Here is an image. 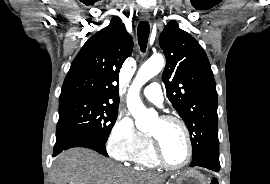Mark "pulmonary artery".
Returning <instances> with one entry per match:
<instances>
[{
    "label": "pulmonary artery",
    "mask_w": 270,
    "mask_h": 184,
    "mask_svg": "<svg viewBox=\"0 0 270 184\" xmlns=\"http://www.w3.org/2000/svg\"><path fill=\"white\" fill-rule=\"evenodd\" d=\"M144 96L156 105H161L163 102V95L161 87L158 83H151L143 90Z\"/></svg>",
    "instance_id": "1"
}]
</instances>
